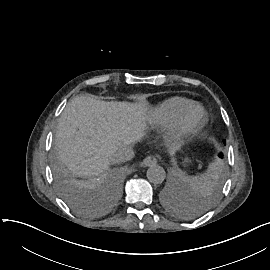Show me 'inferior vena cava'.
I'll list each match as a JSON object with an SVG mask.
<instances>
[{
    "label": "inferior vena cava",
    "mask_w": 270,
    "mask_h": 270,
    "mask_svg": "<svg viewBox=\"0 0 270 270\" xmlns=\"http://www.w3.org/2000/svg\"><path fill=\"white\" fill-rule=\"evenodd\" d=\"M135 150L129 146L120 147L113 155L115 163L126 162L135 157Z\"/></svg>",
    "instance_id": "1"
}]
</instances>
